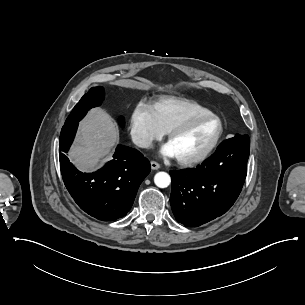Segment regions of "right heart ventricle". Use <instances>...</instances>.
<instances>
[{
  "mask_svg": "<svg viewBox=\"0 0 305 305\" xmlns=\"http://www.w3.org/2000/svg\"><path fill=\"white\" fill-rule=\"evenodd\" d=\"M158 122L164 132H169L182 121L209 113L210 110L196 101L180 97H167L154 106Z\"/></svg>",
  "mask_w": 305,
  "mask_h": 305,
  "instance_id": "obj_1",
  "label": "right heart ventricle"
}]
</instances>
